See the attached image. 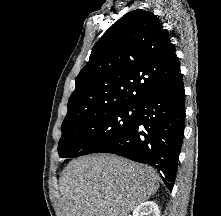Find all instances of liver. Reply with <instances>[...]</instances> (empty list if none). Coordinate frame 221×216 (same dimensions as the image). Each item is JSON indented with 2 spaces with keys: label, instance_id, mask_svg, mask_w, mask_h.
Listing matches in <instances>:
<instances>
[{
  "label": "liver",
  "instance_id": "6515ba94",
  "mask_svg": "<svg viewBox=\"0 0 221 216\" xmlns=\"http://www.w3.org/2000/svg\"><path fill=\"white\" fill-rule=\"evenodd\" d=\"M156 171L115 155L71 161L60 179L64 216H128L156 193Z\"/></svg>",
  "mask_w": 221,
  "mask_h": 216
}]
</instances>
